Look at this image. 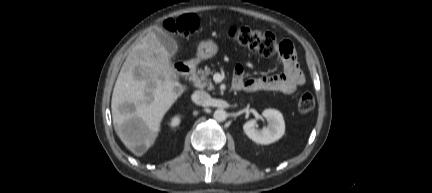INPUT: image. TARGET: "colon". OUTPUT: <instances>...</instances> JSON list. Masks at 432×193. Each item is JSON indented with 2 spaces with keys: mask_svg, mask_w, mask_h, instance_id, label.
Masks as SVG:
<instances>
[{
  "mask_svg": "<svg viewBox=\"0 0 432 193\" xmlns=\"http://www.w3.org/2000/svg\"><path fill=\"white\" fill-rule=\"evenodd\" d=\"M197 16L188 14L166 21L165 27L175 36L187 37L199 28ZM228 36L239 46L253 54L270 57L274 54H289L290 45L285 42L277 43L275 36L270 32L256 30L250 27H231ZM315 107V98L309 93H303L298 100V108L301 112H309Z\"/></svg>",
  "mask_w": 432,
  "mask_h": 193,
  "instance_id": "colon-1",
  "label": "colon"
}]
</instances>
